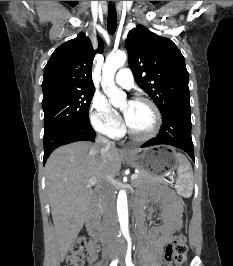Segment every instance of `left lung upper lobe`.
Instances as JSON below:
<instances>
[{
    "label": "left lung upper lobe",
    "mask_w": 233,
    "mask_h": 266,
    "mask_svg": "<svg viewBox=\"0 0 233 266\" xmlns=\"http://www.w3.org/2000/svg\"><path fill=\"white\" fill-rule=\"evenodd\" d=\"M125 43L137 84L152 98L162 115L170 106L189 100L184 57L170 39L138 25L129 32Z\"/></svg>",
    "instance_id": "left-lung-upper-lobe-1"
}]
</instances>
